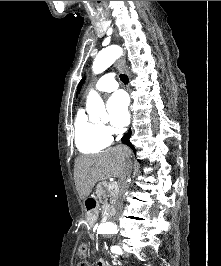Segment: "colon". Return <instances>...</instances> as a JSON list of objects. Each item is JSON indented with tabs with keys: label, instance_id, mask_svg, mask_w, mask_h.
I'll use <instances>...</instances> for the list:
<instances>
[{
	"label": "colon",
	"instance_id": "colon-1",
	"mask_svg": "<svg viewBox=\"0 0 221 266\" xmlns=\"http://www.w3.org/2000/svg\"><path fill=\"white\" fill-rule=\"evenodd\" d=\"M78 266H89V265L87 263H85V262H81V263L78 264Z\"/></svg>",
	"mask_w": 221,
	"mask_h": 266
}]
</instances>
